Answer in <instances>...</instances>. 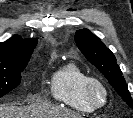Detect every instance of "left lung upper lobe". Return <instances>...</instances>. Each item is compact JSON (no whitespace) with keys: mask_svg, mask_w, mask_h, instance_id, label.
Segmentation results:
<instances>
[{"mask_svg":"<svg viewBox=\"0 0 133 118\" xmlns=\"http://www.w3.org/2000/svg\"><path fill=\"white\" fill-rule=\"evenodd\" d=\"M75 41L87 60L98 68L122 99L133 108V100L113 53L88 29L76 31Z\"/></svg>","mask_w":133,"mask_h":118,"instance_id":"1","label":"left lung upper lobe"}]
</instances>
